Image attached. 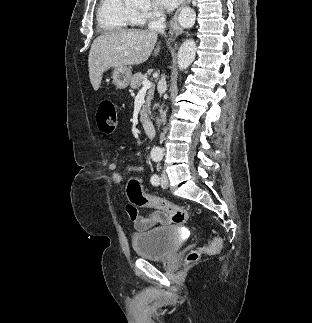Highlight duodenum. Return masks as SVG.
<instances>
[{"label":"duodenum","mask_w":312,"mask_h":323,"mask_svg":"<svg viewBox=\"0 0 312 323\" xmlns=\"http://www.w3.org/2000/svg\"><path fill=\"white\" fill-rule=\"evenodd\" d=\"M140 125H141V128H142L143 132L147 136L153 137L154 130H153V126H152L151 121L149 120V118H147L145 116L141 117Z\"/></svg>","instance_id":"1"}]
</instances>
